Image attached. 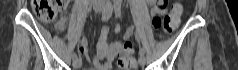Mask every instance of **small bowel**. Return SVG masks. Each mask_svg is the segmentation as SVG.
<instances>
[{
    "label": "small bowel",
    "instance_id": "small-bowel-1",
    "mask_svg": "<svg viewBox=\"0 0 238 70\" xmlns=\"http://www.w3.org/2000/svg\"><path fill=\"white\" fill-rule=\"evenodd\" d=\"M149 4L152 6V16L163 14L166 11L165 3L162 6H159L156 0H150ZM66 24L67 22L65 19H60L56 23V29L58 31H63ZM114 30L118 33L120 30L119 26H116ZM125 33H133V28H128ZM109 34L110 28L108 26H103L100 30L97 42L96 55L92 58L93 67L88 68L87 70H110L112 67L111 62L118 57V54H121L122 52L126 53L127 48L122 47V42L114 41L109 44ZM78 50L82 56L89 58L87 39L82 38L80 40Z\"/></svg>",
    "mask_w": 238,
    "mask_h": 70
}]
</instances>
